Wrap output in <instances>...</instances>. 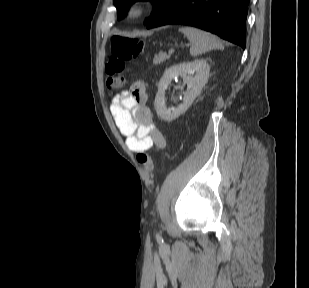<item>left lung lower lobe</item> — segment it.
<instances>
[{
    "instance_id": "1",
    "label": "left lung lower lobe",
    "mask_w": 309,
    "mask_h": 288,
    "mask_svg": "<svg viewBox=\"0 0 309 288\" xmlns=\"http://www.w3.org/2000/svg\"><path fill=\"white\" fill-rule=\"evenodd\" d=\"M249 0H171L147 23V29L166 24L195 26L246 46Z\"/></svg>"
}]
</instances>
